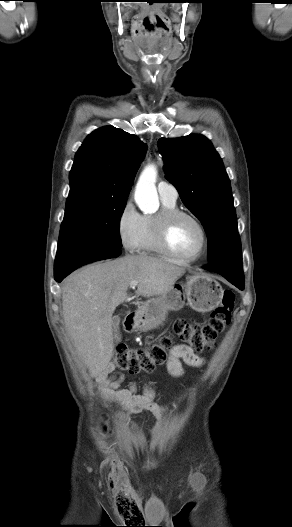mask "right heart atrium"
<instances>
[{
	"label": "right heart atrium",
	"mask_w": 292,
	"mask_h": 527,
	"mask_svg": "<svg viewBox=\"0 0 292 527\" xmlns=\"http://www.w3.org/2000/svg\"><path fill=\"white\" fill-rule=\"evenodd\" d=\"M141 218V214L130 199L123 204L118 213L116 222L117 235L121 245L127 251L136 249Z\"/></svg>",
	"instance_id": "obj_1"
}]
</instances>
